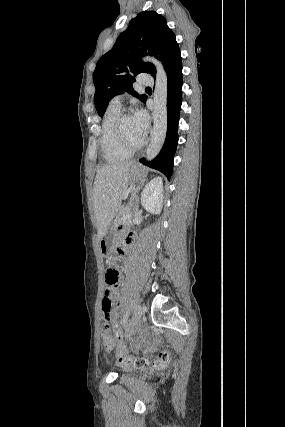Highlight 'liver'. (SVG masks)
I'll return each instance as SVG.
<instances>
[{"instance_id":"obj_1","label":"liver","mask_w":285,"mask_h":427,"mask_svg":"<svg viewBox=\"0 0 285 427\" xmlns=\"http://www.w3.org/2000/svg\"><path fill=\"white\" fill-rule=\"evenodd\" d=\"M132 162L108 164L98 170L93 188V206L101 239L115 217L130 182Z\"/></svg>"}]
</instances>
